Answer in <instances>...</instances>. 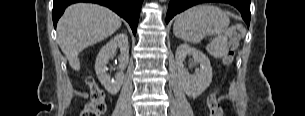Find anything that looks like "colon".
<instances>
[{
	"label": "colon",
	"mask_w": 305,
	"mask_h": 116,
	"mask_svg": "<svg viewBox=\"0 0 305 116\" xmlns=\"http://www.w3.org/2000/svg\"><path fill=\"white\" fill-rule=\"evenodd\" d=\"M237 39L236 33L230 34L231 48L225 57L226 62H230L233 56L234 43ZM90 90V101L85 105L81 116H102L107 110V102L104 91L96 84L93 79L87 80ZM210 116H223V110L219 103L217 93H212L207 100Z\"/></svg>",
	"instance_id": "1"
}]
</instances>
